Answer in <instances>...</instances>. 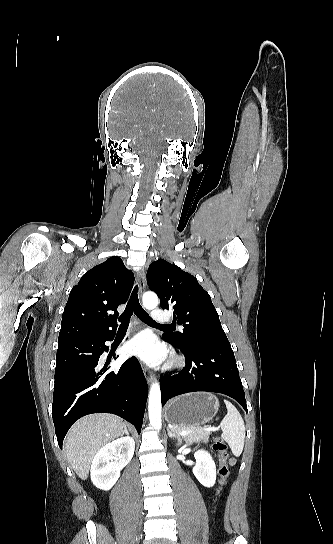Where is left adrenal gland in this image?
I'll list each match as a JSON object with an SVG mask.
<instances>
[{"instance_id": "1", "label": "left adrenal gland", "mask_w": 333, "mask_h": 544, "mask_svg": "<svg viewBox=\"0 0 333 544\" xmlns=\"http://www.w3.org/2000/svg\"><path fill=\"white\" fill-rule=\"evenodd\" d=\"M167 431H168V435L169 437H175V438H180V435L174 431H171L169 428H167Z\"/></svg>"}]
</instances>
